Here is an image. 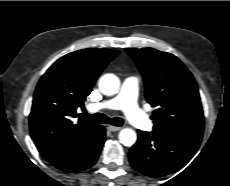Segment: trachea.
Instances as JSON below:
<instances>
[{"label": "trachea", "mask_w": 230, "mask_h": 186, "mask_svg": "<svg viewBox=\"0 0 230 186\" xmlns=\"http://www.w3.org/2000/svg\"><path fill=\"white\" fill-rule=\"evenodd\" d=\"M82 117L92 121L93 123L98 124H107L110 123L114 126L120 127L123 125V119L120 117H114L110 119L108 116L102 113L89 114L86 111L82 114Z\"/></svg>", "instance_id": "trachea-1"}]
</instances>
